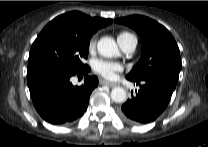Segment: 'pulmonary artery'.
<instances>
[{"instance_id":"1","label":"pulmonary artery","mask_w":208,"mask_h":147,"mask_svg":"<svg viewBox=\"0 0 208 147\" xmlns=\"http://www.w3.org/2000/svg\"><path fill=\"white\" fill-rule=\"evenodd\" d=\"M118 42L122 50L127 54L132 53L135 50L136 45H137L136 37L130 33L129 35L121 38Z\"/></svg>"}]
</instances>
